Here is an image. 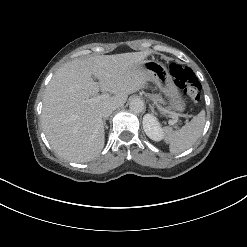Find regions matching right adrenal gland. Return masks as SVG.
Segmentation results:
<instances>
[{"label": "right adrenal gland", "mask_w": 247, "mask_h": 247, "mask_svg": "<svg viewBox=\"0 0 247 247\" xmlns=\"http://www.w3.org/2000/svg\"><path fill=\"white\" fill-rule=\"evenodd\" d=\"M108 118H105L104 120H103V124H104V126H105V129H108V126H107V124H106V120H107Z\"/></svg>", "instance_id": "1"}]
</instances>
